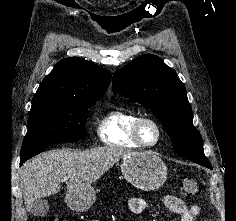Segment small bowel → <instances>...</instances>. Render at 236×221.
<instances>
[{"mask_svg": "<svg viewBox=\"0 0 236 221\" xmlns=\"http://www.w3.org/2000/svg\"><path fill=\"white\" fill-rule=\"evenodd\" d=\"M161 204L167 211L177 215L180 221H195L201 213L199 205H188L175 195L164 196ZM128 207L133 214L140 215L147 208V202L144 198L132 197L128 200Z\"/></svg>", "mask_w": 236, "mask_h": 221, "instance_id": "c3829d8e", "label": "small bowel"}]
</instances>
